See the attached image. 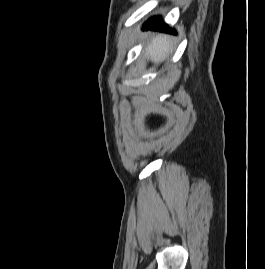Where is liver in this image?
Returning a JSON list of instances; mask_svg holds the SVG:
<instances>
[{
  "instance_id": "obj_1",
  "label": "liver",
  "mask_w": 265,
  "mask_h": 269,
  "mask_svg": "<svg viewBox=\"0 0 265 269\" xmlns=\"http://www.w3.org/2000/svg\"><path fill=\"white\" fill-rule=\"evenodd\" d=\"M172 50L173 49L169 37L158 34L154 35L147 44L146 55L148 58H151L152 61L161 62L169 57Z\"/></svg>"
}]
</instances>
